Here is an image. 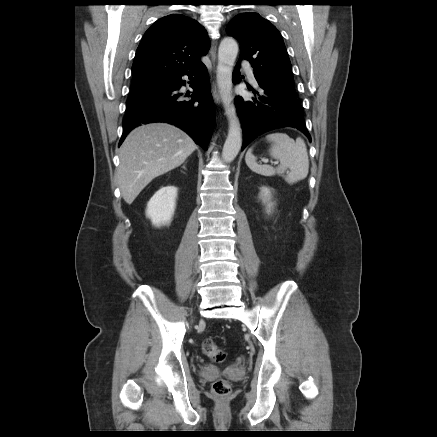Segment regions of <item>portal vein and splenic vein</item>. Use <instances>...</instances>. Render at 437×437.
<instances>
[{"instance_id": "18ae733b", "label": "portal vein and splenic vein", "mask_w": 437, "mask_h": 437, "mask_svg": "<svg viewBox=\"0 0 437 437\" xmlns=\"http://www.w3.org/2000/svg\"><path fill=\"white\" fill-rule=\"evenodd\" d=\"M264 162H266V163H267V162H268V160H264ZM273 163H274L275 165H277V164H278V162H276V161H275V162H273Z\"/></svg>"}]
</instances>
